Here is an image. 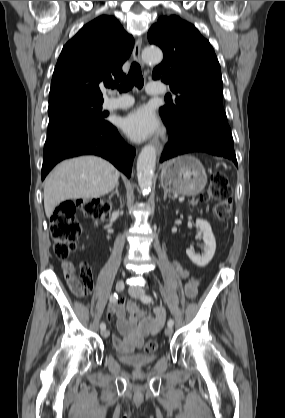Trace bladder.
Segmentation results:
<instances>
[{"mask_svg":"<svg viewBox=\"0 0 285 418\" xmlns=\"http://www.w3.org/2000/svg\"><path fill=\"white\" fill-rule=\"evenodd\" d=\"M116 355L119 362L135 368L147 367L156 361V355L154 352L140 353L116 350Z\"/></svg>","mask_w":285,"mask_h":418,"instance_id":"1","label":"bladder"}]
</instances>
